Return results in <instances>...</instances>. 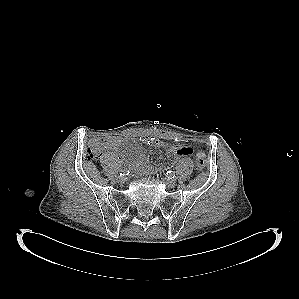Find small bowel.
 I'll use <instances>...</instances> for the list:
<instances>
[{
    "mask_svg": "<svg viewBox=\"0 0 299 299\" xmlns=\"http://www.w3.org/2000/svg\"><path fill=\"white\" fill-rule=\"evenodd\" d=\"M147 144L165 148L169 158H179L191 156L194 150L187 144L169 145L157 136L144 137ZM127 139H108L105 148L110 151L118 152L121 142H127ZM130 156L127 158L123 153H118V159L126 161L131 169L139 174L153 173L155 169L149 164L148 158L136 147H132L129 151Z\"/></svg>",
    "mask_w": 299,
    "mask_h": 299,
    "instance_id": "1",
    "label": "small bowel"
}]
</instances>
